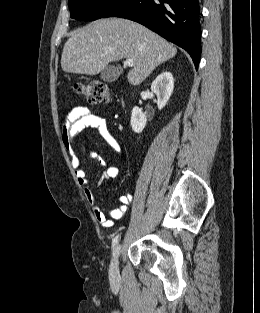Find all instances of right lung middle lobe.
<instances>
[{
    "instance_id": "obj_1",
    "label": "right lung middle lobe",
    "mask_w": 260,
    "mask_h": 313,
    "mask_svg": "<svg viewBox=\"0 0 260 313\" xmlns=\"http://www.w3.org/2000/svg\"><path fill=\"white\" fill-rule=\"evenodd\" d=\"M122 0H69L71 18L79 20H96L102 18L109 10Z\"/></svg>"
}]
</instances>
